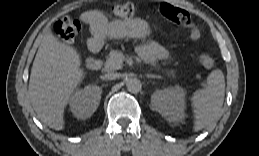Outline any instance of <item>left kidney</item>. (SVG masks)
Masks as SVG:
<instances>
[{
    "label": "left kidney",
    "mask_w": 259,
    "mask_h": 156,
    "mask_svg": "<svg viewBox=\"0 0 259 156\" xmlns=\"http://www.w3.org/2000/svg\"><path fill=\"white\" fill-rule=\"evenodd\" d=\"M185 95L180 86L157 90L151 97L152 107L166 120L181 122L185 118Z\"/></svg>",
    "instance_id": "1"
}]
</instances>
